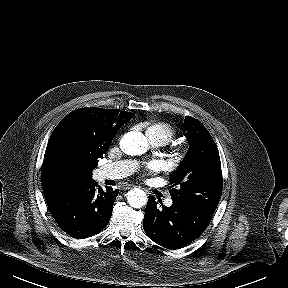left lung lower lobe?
I'll use <instances>...</instances> for the list:
<instances>
[{
	"mask_svg": "<svg viewBox=\"0 0 288 288\" xmlns=\"http://www.w3.org/2000/svg\"><path fill=\"white\" fill-rule=\"evenodd\" d=\"M213 214L178 201H173L170 207L162 205L160 208L154 196H149L143 228L154 242L168 249H177L199 237Z\"/></svg>",
	"mask_w": 288,
	"mask_h": 288,
	"instance_id": "1",
	"label": "left lung lower lobe"
}]
</instances>
